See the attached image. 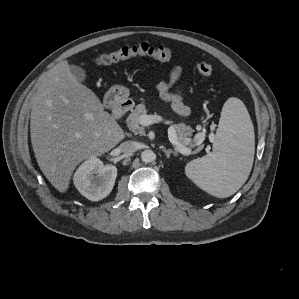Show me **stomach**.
Returning <instances> with one entry per match:
<instances>
[{
	"label": "stomach",
	"instance_id": "stomach-1",
	"mask_svg": "<svg viewBox=\"0 0 299 299\" xmlns=\"http://www.w3.org/2000/svg\"><path fill=\"white\" fill-rule=\"evenodd\" d=\"M108 94L113 97L116 104L124 103L129 99V90L123 86L111 87Z\"/></svg>",
	"mask_w": 299,
	"mask_h": 299
}]
</instances>
